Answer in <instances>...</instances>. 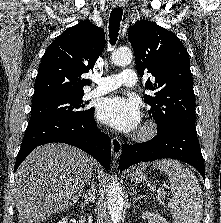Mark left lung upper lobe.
<instances>
[{
  "label": "left lung upper lobe",
  "instance_id": "5c2ea615",
  "mask_svg": "<svg viewBox=\"0 0 221 223\" xmlns=\"http://www.w3.org/2000/svg\"><path fill=\"white\" fill-rule=\"evenodd\" d=\"M128 39L136 59V69L141 76L152 74L144 95L158 133L167 131L177 122L195 123V95L189 64V55L179 38L156 23L142 20L129 30Z\"/></svg>",
  "mask_w": 221,
  "mask_h": 223
}]
</instances>
